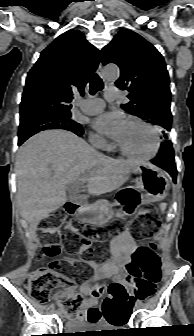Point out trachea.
<instances>
[{
	"label": "trachea",
	"mask_w": 194,
	"mask_h": 336,
	"mask_svg": "<svg viewBox=\"0 0 194 336\" xmlns=\"http://www.w3.org/2000/svg\"><path fill=\"white\" fill-rule=\"evenodd\" d=\"M103 87L102 79L97 74H93L90 81V94L94 95L97 91L102 90Z\"/></svg>",
	"instance_id": "obj_1"
}]
</instances>
